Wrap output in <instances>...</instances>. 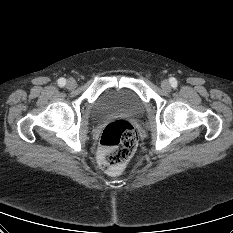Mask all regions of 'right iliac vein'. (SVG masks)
<instances>
[{"instance_id":"63e3f726","label":"right iliac vein","mask_w":233,"mask_h":233,"mask_svg":"<svg viewBox=\"0 0 233 233\" xmlns=\"http://www.w3.org/2000/svg\"><path fill=\"white\" fill-rule=\"evenodd\" d=\"M77 83L73 78H70L67 80L66 87L70 90L74 89L76 87Z\"/></svg>"}]
</instances>
